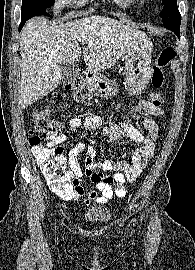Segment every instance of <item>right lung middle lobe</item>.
Segmentation results:
<instances>
[{
  "label": "right lung middle lobe",
  "mask_w": 195,
  "mask_h": 270,
  "mask_svg": "<svg viewBox=\"0 0 195 270\" xmlns=\"http://www.w3.org/2000/svg\"><path fill=\"white\" fill-rule=\"evenodd\" d=\"M55 0H22V12H33L36 15L52 17L45 11V8L54 4Z\"/></svg>",
  "instance_id": "dd1d6c3e"
}]
</instances>
